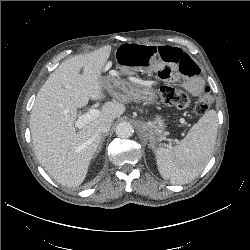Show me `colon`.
Instances as JSON below:
<instances>
[{
	"mask_svg": "<svg viewBox=\"0 0 250 250\" xmlns=\"http://www.w3.org/2000/svg\"><path fill=\"white\" fill-rule=\"evenodd\" d=\"M162 101L168 106L185 108L190 103L187 93L171 86H162L158 89ZM213 97L209 90H205L197 99L194 111L196 114H203L212 104Z\"/></svg>",
	"mask_w": 250,
	"mask_h": 250,
	"instance_id": "obj_1",
	"label": "colon"
}]
</instances>
